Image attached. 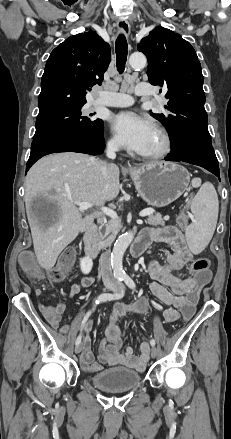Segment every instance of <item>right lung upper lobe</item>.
Here are the masks:
<instances>
[{
	"mask_svg": "<svg viewBox=\"0 0 231 439\" xmlns=\"http://www.w3.org/2000/svg\"><path fill=\"white\" fill-rule=\"evenodd\" d=\"M110 59V46L92 30L56 47L42 76L37 118L83 106L86 92L101 84Z\"/></svg>",
	"mask_w": 231,
	"mask_h": 439,
	"instance_id": "right-lung-upper-lobe-1",
	"label": "right lung upper lobe"
}]
</instances>
